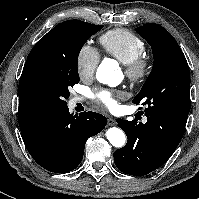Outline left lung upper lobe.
<instances>
[{
    "mask_svg": "<svg viewBox=\"0 0 199 199\" xmlns=\"http://www.w3.org/2000/svg\"><path fill=\"white\" fill-rule=\"evenodd\" d=\"M136 32L150 44L154 57L151 74L134 104L148 105L145 113L156 106H166L189 112L190 72L186 58L172 35L159 24L148 23Z\"/></svg>",
    "mask_w": 199,
    "mask_h": 199,
    "instance_id": "obj_1",
    "label": "left lung upper lobe"
}]
</instances>
